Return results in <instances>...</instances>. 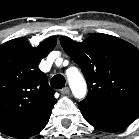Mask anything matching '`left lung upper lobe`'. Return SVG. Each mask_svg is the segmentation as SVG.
I'll use <instances>...</instances> for the list:
<instances>
[{"label": "left lung upper lobe", "instance_id": "obj_1", "mask_svg": "<svg viewBox=\"0 0 139 139\" xmlns=\"http://www.w3.org/2000/svg\"><path fill=\"white\" fill-rule=\"evenodd\" d=\"M60 43L88 85V95L78 106L101 111L139 107L138 49L102 33L80 43L61 37Z\"/></svg>", "mask_w": 139, "mask_h": 139}]
</instances>
